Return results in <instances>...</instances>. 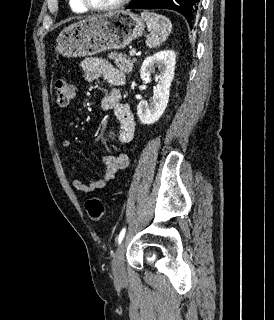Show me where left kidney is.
Here are the masks:
<instances>
[{
  "label": "left kidney",
  "mask_w": 274,
  "mask_h": 320,
  "mask_svg": "<svg viewBox=\"0 0 274 320\" xmlns=\"http://www.w3.org/2000/svg\"><path fill=\"white\" fill-rule=\"evenodd\" d=\"M175 64L176 56L173 50H162L144 60L140 70L142 80L156 74L155 68H158L159 74H156V86L152 98L148 102L141 100L137 106L138 118L142 124H154L164 114L169 102Z\"/></svg>",
  "instance_id": "5707ae66"
}]
</instances>
